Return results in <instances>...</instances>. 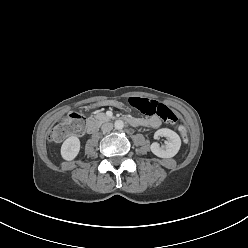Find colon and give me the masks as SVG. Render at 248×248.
<instances>
[{
    "label": "colon",
    "instance_id": "obj_1",
    "mask_svg": "<svg viewBox=\"0 0 248 248\" xmlns=\"http://www.w3.org/2000/svg\"><path fill=\"white\" fill-rule=\"evenodd\" d=\"M132 107L145 115H157L164 122L173 124L177 120V116L172 109L166 105L150 99L132 97L129 100ZM84 120L79 114H72L63 119L50 132V138L53 141H61L70 135L78 134L83 130ZM179 132L185 143L188 142V133L184 126L179 127Z\"/></svg>",
    "mask_w": 248,
    "mask_h": 248
}]
</instances>
